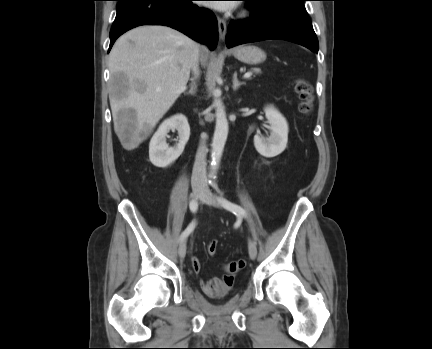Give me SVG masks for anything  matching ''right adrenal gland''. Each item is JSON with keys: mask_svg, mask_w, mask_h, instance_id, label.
Here are the masks:
<instances>
[{"mask_svg": "<svg viewBox=\"0 0 432 349\" xmlns=\"http://www.w3.org/2000/svg\"><path fill=\"white\" fill-rule=\"evenodd\" d=\"M196 90H197V85H196L194 79H191L190 89H189V91H185L184 94L195 95Z\"/></svg>", "mask_w": 432, "mask_h": 349, "instance_id": "1", "label": "right adrenal gland"}]
</instances>
